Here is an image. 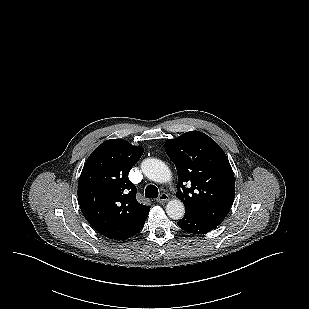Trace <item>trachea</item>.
Wrapping results in <instances>:
<instances>
[{
    "label": "trachea",
    "mask_w": 309,
    "mask_h": 309,
    "mask_svg": "<svg viewBox=\"0 0 309 309\" xmlns=\"http://www.w3.org/2000/svg\"><path fill=\"white\" fill-rule=\"evenodd\" d=\"M158 188L155 185H148L145 189L146 198H157L158 197Z\"/></svg>",
    "instance_id": "3493384b"
}]
</instances>
